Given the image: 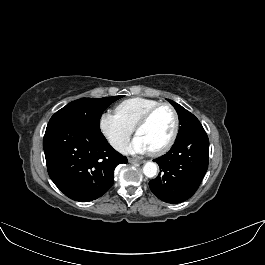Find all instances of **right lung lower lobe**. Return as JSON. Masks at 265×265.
Returning <instances> with one entry per match:
<instances>
[{
	"label": "right lung lower lobe",
	"instance_id": "obj_1",
	"mask_svg": "<svg viewBox=\"0 0 265 265\" xmlns=\"http://www.w3.org/2000/svg\"><path fill=\"white\" fill-rule=\"evenodd\" d=\"M43 148L51 180L79 202L101 197L113 185L115 167L127 163L101 131L72 122L48 124Z\"/></svg>",
	"mask_w": 265,
	"mask_h": 265
}]
</instances>
